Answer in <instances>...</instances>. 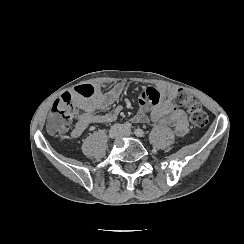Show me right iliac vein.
<instances>
[{
  "label": "right iliac vein",
  "mask_w": 244,
  "mask_h": 244,
  "mask_svg": "<svg viewBox=\"0 0 244 244\" xmlns=\"http://www.w3.org/2000/svg\"><path fill=\"white\" fill-rule=\"evenodd\" d=\"M121 127L119 125H114L108 132V137L111 139L116 138L120 133Z\"/></svg>",
  "instance_id": "1"
}]
</instances>
